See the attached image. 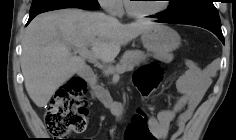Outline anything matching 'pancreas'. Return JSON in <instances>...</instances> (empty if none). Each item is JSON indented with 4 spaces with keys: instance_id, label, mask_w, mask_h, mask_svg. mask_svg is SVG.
Returning a JSON list of instances; mask_svg holds the SVG:
<instances>
[{
    "instance_id": "1",
    "label": "pancreas",
    "mask_w": 236,
    "mask_h": 140,
    "mask_svg": "<svg viewBox=\"0 0 236 140\" xmlns=\"http://www.w3.org/2000/svg\"><path fill=\"white\" fill-rule=\"evenodd\" d=\"M147 57L148 55H146L143 51L128 50L123 54L120 60V64L116 67V69L122 68L125 71L132 70L135 66L146 61ZM114 72H115V69L112 67H108V69L104 71L106 75L112 74Z\"/></svg>"
}]
</instances>
